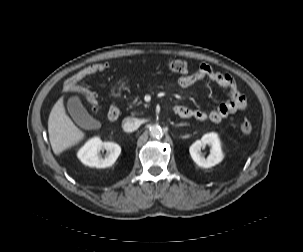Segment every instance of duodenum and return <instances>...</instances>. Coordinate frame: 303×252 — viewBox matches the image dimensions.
<instances>
[{"label": "duodenum", "mask_w": 303, "mask_h": 252, "mask_svg": "<svg viewBox=\"0 0 303 252\" xmlns=\"http://www.w3.org/2000/svg\"><path fill=\"white\" fill-rule=\"evenodd\" d=\"M173 112L175 113H178V109L176 107H174L172 109ZM121 114V109L120 107L116 104V103H113L110 107V110H109V119L111 121H115L118 119V117L120 116Z\"/></svg>", "instance_id": "410a0bca"}]
</instances>
